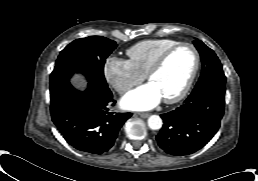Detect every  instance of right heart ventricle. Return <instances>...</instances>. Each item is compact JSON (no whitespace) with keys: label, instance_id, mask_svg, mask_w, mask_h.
Returning a JSON list of instances; mask_svg holds the SVG:
<instances>
[{"label":"right heart ventricle","instance_id":"right-heart-ventricle-1","mask_svg":"<svg viewBox=\"0 0 258 181\" xmlns=\"http://www.w3.org/2000/svg\"><path fill=\"white\" fill-rule=\"evenodd\" d=\"M179 43L173 39L143 40L127 50L130 64L140 74L146 76L158 57L171 46Z\"/></svg>","mask_w":258,"mask_h":181}]
</instances>
